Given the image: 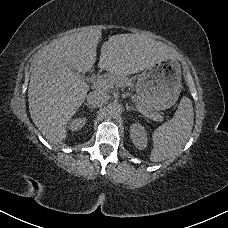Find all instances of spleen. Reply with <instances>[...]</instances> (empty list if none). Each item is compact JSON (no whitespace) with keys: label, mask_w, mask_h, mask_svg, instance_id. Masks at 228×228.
<instances>
[{"label":"spleen","mask_w":228,"mask_h":228,"mask_svg":"<svg viewBox=\"0 0 228 228\" xmlns=\"http://www.w3.org/2000/svg\"><path fill=\"white\" fill-rule=\"evenodd\" d=\"M194 111L189 98L183 97L174 117L159 126L152 134L153 149L150 161L174 160L191 134Z\"/></svg>","instance_id":"1"}]
</instances>
